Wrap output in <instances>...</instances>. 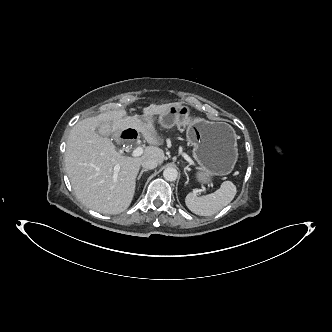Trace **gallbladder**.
I'll use <instances>...</instances> for the list:
<instances>
[{
  "mask_svg": "<svg viewBox=\"0 0 332 332\" xmlns=\"http://www.w3.org/2000/svg\"><path fill=\"white\" fill-rule=\"evenodd\" d=\"M98 130H99V133H100L102 136H106V135L108 134V133H106V132H103L102 127H99Z\"/></svg>",
  "mask_w": 332,
  "mask_h": 332,
  "instance_id": "gallbladder-1",
  "label": "gallbladder"
}]
</instances>
